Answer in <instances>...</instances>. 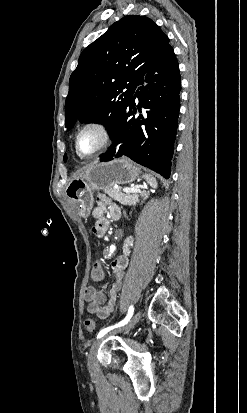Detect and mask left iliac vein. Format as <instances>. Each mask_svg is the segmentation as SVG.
I'll return each mask as SVG.
<instances>
[{"instance_id":"left-iliac-vein-1","label":"left iliac vein","mask_w":247,"mask_h":413,"mask_svg":"<svg viewBox=\"0 0 247 413\" xmlns=\"http://www.w3.org/2000/svg\"><path fill=\"white\" fill-rule=\"evenodd\" d=\"M142 316V311L139 310L138 312H136L133 317L127 322V324H125L124 326L120 327L119 329H116L114 331H112L110 334L111 335H115L118 333H123L126 332L132 328H134L136 326V324L140 321ZM105 337H103L102 339H98L96 340L90 349V352L88 354L87 357V368L91 373H95V361H96V355L97 352L99 350V347L103 341Z\"/></svg>"}]
</instances>
